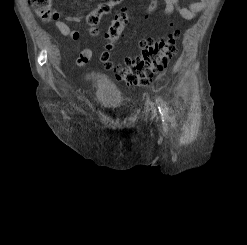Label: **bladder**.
Here are the masks:
<instances>
[{
	"mask_svg": "<svg viewBox=\"0 0 247 245\" xmlns=\"http://www.w3.org/2000/svg\"><path fill=\"white\" fill-rule=\"evenodd\" d=\"M95 84L96 101L108 109L118 108L122 101L123 95L120 89L104 74L95 72L91 75Z\"/></svg>",
	"mask_w": 247,
	"mask_h": 245,
	"instance_id": "bladder-1",
	"label": "bladder"
}]
</instances>
